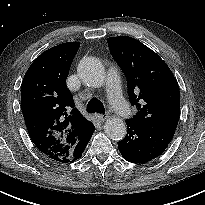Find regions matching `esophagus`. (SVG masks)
Masks as SVG:
<instances>
[{
    "label": "esophagus",
    "instance_id": "obj_1",
    "mask_svg": "<svg viewBox=\"0 0 205 205\" xmlns=\"http://www.w3.org/2000/svg\"><path fill=\"white\" fill-rule=\"evenodd\" d=\"M108 114H98L97 118L99 121L103 122L108 118Z\"/></svg>",
    "mask_w": 205,
    "mask_h": 205
}]
</instances>
